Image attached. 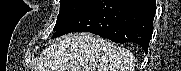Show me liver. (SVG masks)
Instances as JSON below:
<instances>
[{
    "label": "liver",
    "instance_id": "6515ba94",
    "mask_svg": "<svg viewBox=\"0 0 181 71\" xmlns=\"http://www.w3.org/2000/svg\"><path fill=\"white\" fill-rule=\"evenodd\" d=\"M132 54L90 33L53 40L39 57L35 71H134Z\"/></svg>",
    "mask_w": 181,
    "mask_h": 71
}]
</instances>
